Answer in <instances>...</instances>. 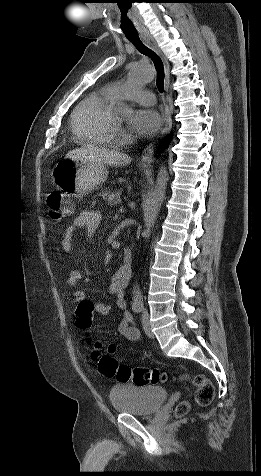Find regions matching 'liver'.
<instances>
[{
    "instance_id": "6515ba94",
    "label": "liver",
    "mask_w": 261,
    "mask_h": 476,
    "mask_svg": "<svg viewBox=\"0 0 261 476\" xmlns=\"http://www.w3.org/2000/svg\"><path fill=\"white\" fill-rule=\"evenodd\" d=\"M66 158L72 160H87L114 167L125 166L131 162V158L126 154L94 145H87L69 151L66 154Z\"/></svg>"
}]
</instances>
